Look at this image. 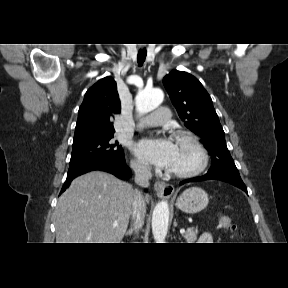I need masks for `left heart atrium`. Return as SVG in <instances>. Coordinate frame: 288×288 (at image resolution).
I'll return each instance as SVG.
<instances>
[{
    "label": "left heart atrium",
    "instance_id": "left-heart-atrium-1",
    "mask_svg": "<svg viewBox=\"0 0 288 288\" xmlns=\"http://www.w3.org/2000/svg\"><path fill=\"white\" fill-rule=\"evenodd\" d=\"M175 144L166 137H148L134 144L137 157L158 168H168L175 156Z\"/></svg>",
    "mask_w": 288,
    "mask_h": 288
}]
</instances>
